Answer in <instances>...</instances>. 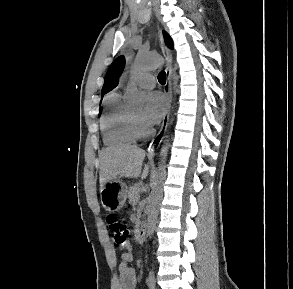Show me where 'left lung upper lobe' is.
Returning a JSON list of instances; mask_svg holds the SVG:
<instances>
[{"label": "left lung upper lobe", "instance_id": "obj_1", "mask_svg": "<svg viewBox=\"0 0 293 289\" xmlns=\"http://www.w3.org/2000/svg\"><path fill=\"white\" fill-rule=\"evenodd\" d=\"M164 34V38H165V42H166V45L169 47V48H173V43H172V40L170 38V36L164 31L163 32Z\"/></svg>", "mask_w": 293, "mask_h": 289}]
</instances>
